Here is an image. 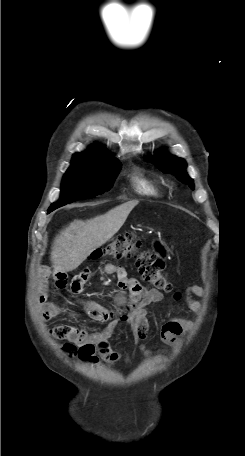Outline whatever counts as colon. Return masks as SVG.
<instances>
[{
	"mask_svg": "<svg viewBox=\"0 0 245 456\" xmlns=\"http://www.w3.org/2000/svg\"><path fill=\"white\" fill-rule=\"evenodd\" d=\"M115 259L135 258V265L141 277L158 291L172 292L173 286L163 274V262L150 250L144 249L142 242L132 233H125L112 240L104 249H98L91 254L92 259L102 256ZM178 297V294L175 295ZM67 349H72L70 345Z\"/></svg>",
	"mask_w": 245,
	"mask_h": 456,
	"instance_id": "colon-1",
	"label": "colon"
}]
</instances>
